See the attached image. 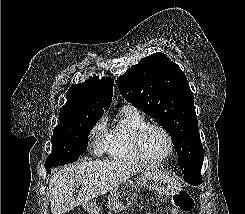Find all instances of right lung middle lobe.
Wrapping results in <instances>:
<instances>
[{
    "instance_id": "1",
    "label": "right lung middle lobe",
    "mask_w": 245,
    "mask_h": 214,
    "mask_svg": "<svg viewBox=\"0 0 245 214\" xmlns=\"http://www.w3.org/2000/svg\"><path fill=\"white\" fill-rule=\"evenodd\" d=\"M103 113H90L77 117L69 128L53 134L52 152L45 162L48 173L52 167L75 162L86 151L88 136Z\"/></svg>"
}]
</instances>
